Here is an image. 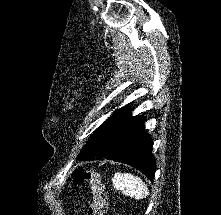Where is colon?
<instances>
[{
  "mask_svg": "<svg viewBox=\"0 0 221 215\" xmlns=\"http://www.w3.org/2000/svg\"><path fill=\"white\" fill-rule=\"evenodd\" d=\"M73 179L79 184L88 186L91 193L90 215H107L108 202L105 186L99 173L90 169L79 167L73 173Z\"/></svg>",
  "mask_w": 221,
  "mask_h": 215,
  "instance_id": "1",
  "label": "colon"
}]
</instances>
